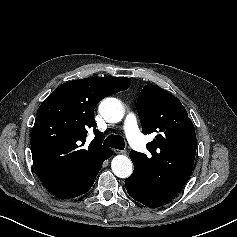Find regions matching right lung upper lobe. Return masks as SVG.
<instances>
[{"label":"right lung upper lobe","instance_id":"cb5924a9","mask_svg":"<svg viewBox=\"0 0 237 237\" xmlns=\"http://www.w3.org/2000/svg\"><path fill=\"white\" fill-rule=\"evenodd\" d=\"M130 78L94 77L58 86L40 105L31 136L36 173L57 198L86 192L94 169L112 155L95 128L94 108L104 97L128 89ZM89 128L95 138L84 149Z\"/></svg>","mask_w":237,"mask_h":237}]
</instances>
